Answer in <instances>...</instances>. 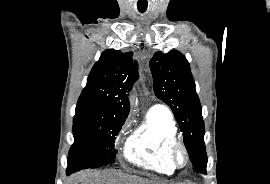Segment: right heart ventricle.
Segmentation results:
<instances>
[{
    "label": "right heart ventricle",
    "instance_id": "right-heart-ventricle-1",
    "mask_svg": "<svg viewBox=\"0 0 270 184\" xmlns=\"http://www.w3.org/2000/svg\"><path fill=\"white\" fill-rule=\"evenodd\" d=\"M178 140V128L171 112L153 106L125 147V158L148 170L170 175L175 167L170 158L172 145Z\"/></svg>",
    "mask_w": 270,
    "mask_h": 184
}]
</instances>
